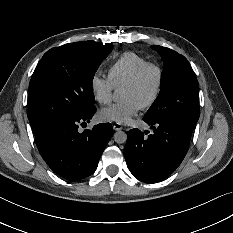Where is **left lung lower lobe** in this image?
Listing matches in <instances>:
<instances>
[{
	"mask_svg": "<svg viewBox=\"0 0 233 233\" xmlns=\"http://www.w3.org/2000/svg\"><path fill=\"white\" fill-rule=\"evenodd\" d=\"M145 122L153 132L147 137L136 128L130 130L124 156L130 172L137 179L156 183L167 178L181 164L196 124L181 121Z\"/></svg>",
	"mask_w": 233,
	"mask_h": 233,
	"instance_id": "1",
	"label": "left lung lower lobe"
}]
</instances>
